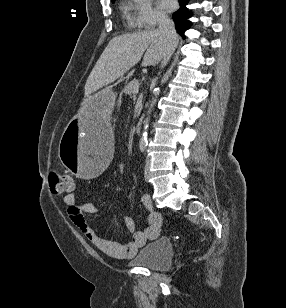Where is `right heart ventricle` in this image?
<instances>
[{
    "instance_id": "right-heart-ventricle-1",
    "label": "right heart ventricle",
    "mask_w": 286,
    "mask_h": 308,
    "mask_svg": "<svg viewBox=\"0 0 286 308\" xmlns=\"http://www.w3.org/2000/svg\"><path fill=\"white\" fill-rule=\"evenodd\" d=\"M122 10H123V12H124L125 14H128V8H127V6L123 5V6H122ZM128 19H129V16H128Z\"/></svg>"
}]
</instances>
